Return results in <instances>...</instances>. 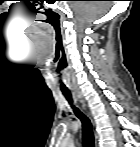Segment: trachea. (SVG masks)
Segmentation results:
<instances>
[{
	"label": "trachea",
	"instance_id": "obj_1",
	"mask_svg": "<svg viewBox=\"0 0 140 147\" xmlns=\"http://www.w3.org/2000/svg\"><path fill=\"white\" fill-rule=\"evenodd\" d=\"M71 107L75 115L81 120L82 127H83V146L84 147H95L94 143V134L92 130V125L90 120L78 109L73 105L72 96L70 93L64 92L63 93Z\"/></svg>",
	"mask_w": 140,
	"mask_h": 147
}]
</instances>
